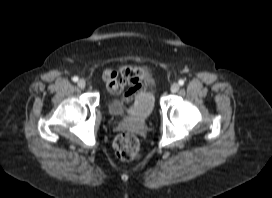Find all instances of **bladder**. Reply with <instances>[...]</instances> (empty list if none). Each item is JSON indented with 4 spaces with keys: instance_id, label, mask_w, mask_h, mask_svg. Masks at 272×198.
<instances>
[{
    "instance_id": "bladder-1",
    "label": "bladder",
    "mask_w": 272,
    "mask_h": 198,
    "mask_svg": "<svg viewBox=\"0 0 272 198\" xmlns=\"http://www.w3.org/2000/svg\"><path fill=\"white\" fill-rule=\"evenodd\" d=\"M154 106V98L151 94H147L142 98L127 106L119 98H111L107 100V108L109 113L114 117H134L138 119L147 118Z\"/></svg>"
}]
</instances>
